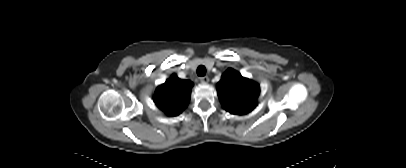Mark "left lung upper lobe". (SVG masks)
<instances>
[{
  "instance_id": "1",
  "label": "left lung upper lobe",
  "mask_w": 406,
  "mask_h": 168,
  "mask_svg": "<svg viewBox=\"0 0 406 168\" xmlns=\"http://www.w3.org/2000/svg\"><path fill=\"white\" fill-rule=\"evenodd\" d=\"M217 93L224 109L243 115L256 107L260 88L257 83L229 68L217 84Z\"/></svg>"
}]
</instances>
